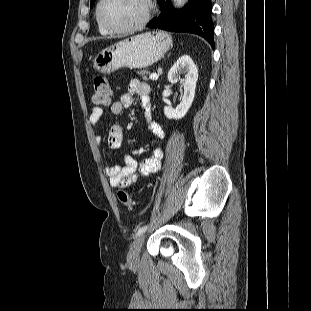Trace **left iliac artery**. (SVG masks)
<instances>
[{
	"instance_id": "obj_1",
	"label": "left iliac artery",
	"mask_w": 311,
	"mask_h": 311,
	"mask_svg": "<svg viewBox=\"0 0 311 311\" xmlns=\"http://www.w3.org/2000/svg\"><path fill=\"white\" fill-rule=\"evenodd\" d=\"M148 225H144L142 227H140L136 233V237L142 235L143 233H145V231L147 230Z\"/></svg>"
}]
</instances>
